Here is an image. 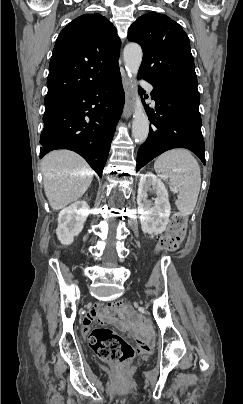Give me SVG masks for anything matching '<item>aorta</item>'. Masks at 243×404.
Segmentation results:
<instances>
[{
  "instance_id": "obj_1",
  "label": "aorta",
  "mask_w": 243,
  "mask_h": 404,
  "mask_svg": "<svg viewBox=\"0 0 243 404\" xmlns=\"http://www.w3.org/2000/svg\"><path fill=\"white\" fill-rule=\"evenodd\" d=\"M143 52L139 44H127L123 50V58L125 68L130 78H136L140 64L142 62ZM133 98L134 100V116L132 122V138L135 142L143 144L148 138L149 134V120L143 108V104L138 96L136 80H133Z\"/></svg>"
}]
</instances>
